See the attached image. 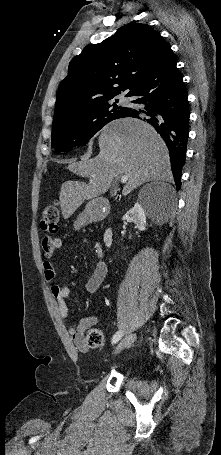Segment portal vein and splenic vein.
Returning <instances> with one entry per match:
<instances>
[{"label":"portal vein and splenic vein","mask_w":221,"mask_h":455,"mask_svg":"<svg viewBox=\"0 0 221 455\" xmlns=\"http://www.w3.org/2000/svg\"><path fill=\"white\" fill-rule=\"evenodd\" d=\"M94 177V176H92ZM128 181V176L127 175H124L121 177V183H126Z\"/></svg>","instance_id":"obj_1"}]
</instances>
